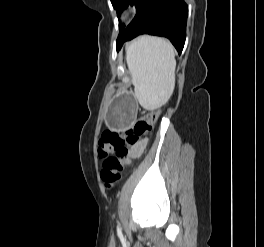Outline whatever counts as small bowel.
<instances>
[{"label": "small bowel", "mask_w": 264, "mask_h": 247, "mask_svg": "<svg viewBox=\"0 0 264 247\" xmlns=\"http://www.w3.org/2000/svg\"><path fill=\"white\" fill-rule=\"evenodd\" d=\"M143 147H144V143L139 144L136 147H134V149H133V155L134 156H138L141 153Z\"/></svg>", "instance_id": "1"}]
</instances>
